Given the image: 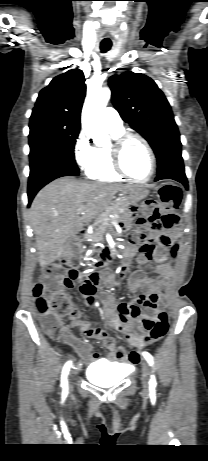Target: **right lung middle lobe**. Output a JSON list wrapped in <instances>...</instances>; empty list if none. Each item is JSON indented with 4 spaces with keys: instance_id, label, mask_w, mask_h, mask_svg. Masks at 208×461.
I'll return each mask as SVG.
<instances>
[{
    "instance_id": "1",
    "label": "right lung middle lobe",
    "mask_w": 208,
    "mask_h": 461,
    "mask_svg": "<svg viewBox=\"0 0 208 461\" xmlns=\"http://www.w3.org/2000/svg\"><path fill=\"white\" fill-rule=\"evenodd\" d=\"M30 174L51 165L60 164L79 172L74 158V146L79 126L55 119H30Z\"/></svg>"
}]
</instances>
